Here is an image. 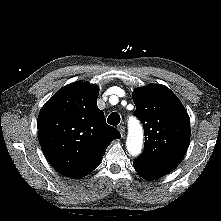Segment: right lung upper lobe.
Returning a JSON list of instances; mask_svg holds the SVG:
<instances>
[{
	"mask_svg": "<svg viewBox=\"0 0 221 221\" xmlns=\"http://www.w3.org/2000/svg\"><path fill=\"white\" fill-rule=\"evenodd\" d=\"M99 88L78 81L61 88L38 116L40 146L60 174L81 178L92 172L120 132L97 107Z\"/></svg>",
	"mask_w": 221,
	"mask_h": 221,
	"instance_id": "cb5924a9",
	"label": "right lung upper lobe"
}]
</instances>
